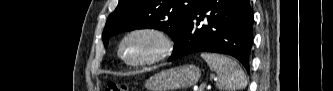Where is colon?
<instances>
[{"label": "colon", "instance_id": "5ec220e1", "mask_svg": "<svg viewBox=\"0 0 333 91\" xmlns=\"http://www.w3.org/2000/svg\"><path fill=\"white\" fill-rule=\"evenodd\" d=\"M128 87L124 84H117L115 82H108L105 91H127Z\"/></svg>", "mask_w": 333, "mask_h": 91}]
</instances>
